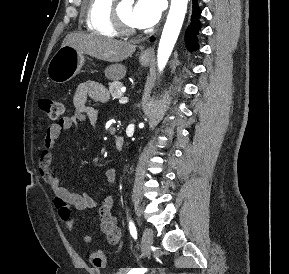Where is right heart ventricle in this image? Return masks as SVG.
<instances>
[{"label": "right heart ventricle", "instance_id": "1", "mask_svg": "<svg viewBox=\"0 0 289 274\" xmlns=\"http://www.w3.org/2000/svg\"><path fill=\"white\" fill-rule=\"evenodd\" d=\"M113 5L114 0H85L83 15L86 28L97 35L116 37L118 32L113 25Z\"/></svg>", "mask_w": 289, "mask_h": 274}]
</instances>
